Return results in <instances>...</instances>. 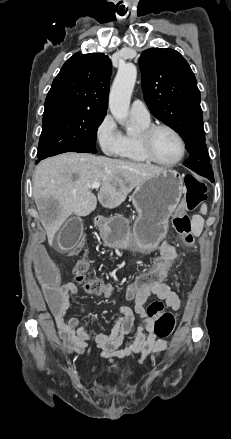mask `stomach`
Returning <instances> with one entry per match:
<instances>
[{
	"label": "stomach",
	"instance_id": "stomach-1",
	"mask_svg": "<svg viewBox=\"0 0 231 439\" xmlns=\"http://www.w3.org/2000/svg\"><path fill=\"white\" fill-rule=\"evenodd\" d=\"M182 190V177L174 170H164L145 180L130 196L138 213L132 228L121 216L99 225L105 245L140 253L157 249L167 234L169 218L180 202Z\"/></svg>",
	"mask_w": 231,
	"mask_h": 439
}]
</instances>
